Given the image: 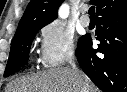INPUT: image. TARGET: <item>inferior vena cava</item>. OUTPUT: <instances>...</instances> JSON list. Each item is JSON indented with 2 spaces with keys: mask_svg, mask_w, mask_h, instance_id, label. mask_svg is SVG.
I'll return each mask as SVG.
<instances>
[{
  "mask_svg": "<svg viewBox=\"0 0 127 92\" xmlns=\"http://www.w3.org/2000/svg\"><path fill=\"white\" fill-rule=\"evenodd\" d=\"M69 63L72 67V70H74V71L78 70L76 67L75 61H74V57L70 58ZM82 92H87V87L85 85H83V87H82Z\"/></svg>",
  "mask_w": 127,
  "mask_h": 92,
  "instance_id": "obj_1",
  "label": "inferior vena cava"
}]
</instances>
